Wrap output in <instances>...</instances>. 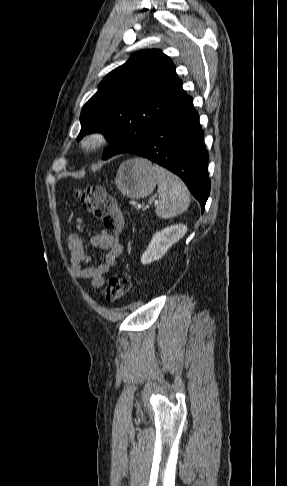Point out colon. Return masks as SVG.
Returning <instances> with one entry per match:
<instances>
[{
  "label": "colon",
  "mask_w": 287,
  "mask_h": 486,
  "mask_svg": "<svg viewBox=\"0 0 287 486\" xmlns=\"http://www.w3.org/2000/svg\"><path fill=\"white\" fill-rule=\"evenodd\" d=\"M74 196L92 216L103 223L110 234H119L123 230L124 220L116 200L106 190L97 185H89L74 191ZM130 288V281L125 277L113 276L105 287V298L116 301L122 298Z\"/></svg>",
  "instance_id": "colon-1"
}]
</instances>
